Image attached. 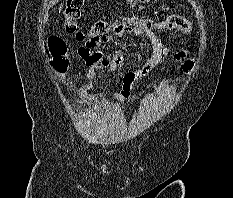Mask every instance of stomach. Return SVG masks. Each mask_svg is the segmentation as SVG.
<instances>
[{
    "label": "stomach",
    "mask_w": 233,
    "mask_h": 198,
    "mask_svg": "<svg viewBox=\"0 0 233 198\" xmlns=\"http://www.w3.org/2000/svg\"><path fill=\"white\" fill-rule=\"evenodd\" d=\"M128 3H133L136 1L142 2V3H146V2H150V0H126Z\"/></svg>",
    "instance_id": "0dacf381"
}]
</instances>
